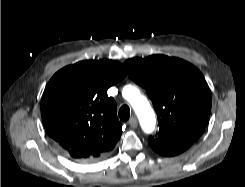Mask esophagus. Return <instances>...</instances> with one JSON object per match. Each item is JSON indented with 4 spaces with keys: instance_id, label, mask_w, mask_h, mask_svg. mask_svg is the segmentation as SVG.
<instances>
[{
    "instance_id": "obj_1",
    "label": "esophagus",
    "mask_w": 245,
    "mask_h": 187,
    "mask_svg": "<svg viewBox=\"0 0 245 187\" xmlns=\"http://www.w3.org/2000/svg\"><path fill=\"white\" fill-rule=\"evenodd\" d=\"M128 123L132 128H136L138 126V120L135 116L131 117Z\"/></svg>"
}]
</instances>
